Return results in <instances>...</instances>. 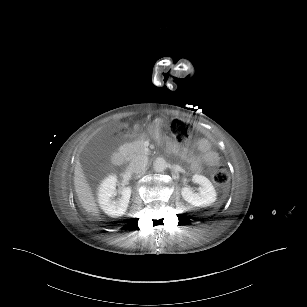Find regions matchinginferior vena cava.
<instances>
[{
    "label": "inferior vena cava",
    "mask_w": 307,
    "mask_h": 307,
    "mask_svg": "<svg viewBox=\"0 0 307 307\" xmlns=\"http://www.w3.org/2000/svg\"><path fill=\"white\" fill-rule=\"evenodd\" d=\"M146 164V157L136 156L130 161L129 165L127 166V170L135 174H141L145 170Z\"/></svg>",
    "instance_id": "obj_1"
}]
</instances>
